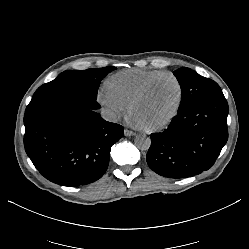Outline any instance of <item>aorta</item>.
Instances as JSON below:
<instances>
[{
  "mask_svg": "<svg viewBox=\"0 0 249 249\" xmlns=\"http://www.w3.org/2000/svg\"><path fill=\"white\" fill-rule=\"evenodd\" d=\"M135 146L140 150H148L151 145V140L149 137L143 134H139L134 139Z\"/></svg>",
  "mask_w": 249,
  "mask_h": 249,
  "instance_id": "1",
  "label": "aorta"
}]
</instances>
